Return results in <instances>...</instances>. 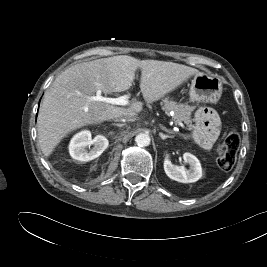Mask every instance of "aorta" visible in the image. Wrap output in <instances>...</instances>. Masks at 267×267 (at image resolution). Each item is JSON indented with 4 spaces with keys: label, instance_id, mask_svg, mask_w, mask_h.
Here are the masks:
<instances>
[{
    "label": "aorta",
    "instance_id": "aorta-1",
    "mask_svg": "<svg viewBox=\"0 0 267 267\" xmlns=\"http://www.w3.org/2000/svg\"><path fill=\"white\" fill-rule=\"evenodd\" d=\"M150 141V136L146 133H140L135 137V142L139 147L149 146Z\"/></svg>",
    "mask_w": 267,
    "mask_h": 267
}]
</instances>
